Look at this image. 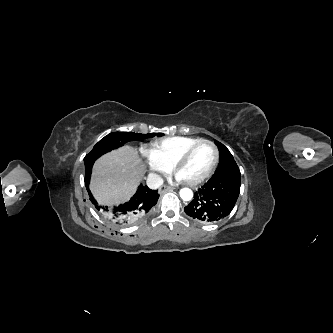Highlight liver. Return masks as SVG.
<instances>
[{
  "mask_svg": "<svg viewBox=\"0 0 333 333\" xmlns=\"http://www.w3.org/2000/svg\"><path fill=\"white\" fill-rule=\"evenodd\" d=\"M144 173L138 151L126 145L95 162L90 190L99 204L116 205L132 197Z\"/></svg>",
  "mask_w": 333,
  "mask_h": 333,
  "instance_id": "6515ba94",
  "label": "liver"
}]
</instances>
